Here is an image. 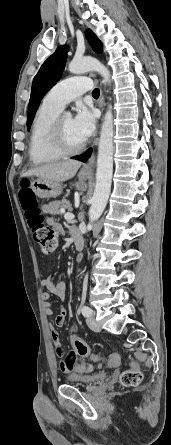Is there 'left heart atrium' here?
Masks as SVG:
<instances>
[{
  "mask_svg": "<svg viewBox=\"0 0 171 445\" xmlns=\"http://www.w3.org/2000/svg\"><path fill=\"white\" fill-rule=\"evenodd\" d=\"M95 124L96 121L93 111L85 106H79L73 118V125L84 140L94 132Z\"/></svg>",
  "mask_w": 171,
  "mask_h": 445,
  "instance_id": "39dd6f15",
  "label": "left heart atrium"
}]
</instances>
